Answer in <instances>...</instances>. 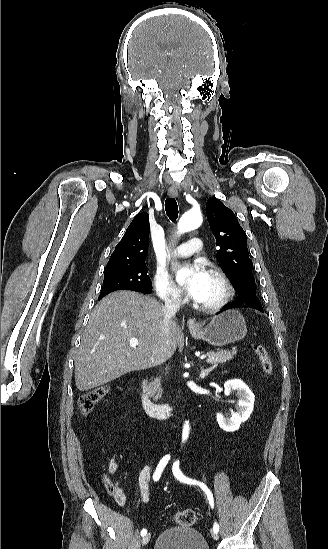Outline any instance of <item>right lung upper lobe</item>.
Wrapping results in <instances>:
<instances>
[{"label":"right lung upper lobe","instance_id":"cb5924a9","mask_svg":"<svg viewBox=\"0 0 328 549\" xmlns=\"http://www.w3.org/2000/svg\"><path fill=\"white\" fill-rule=\"evenodd\" d=\"M149 215L137 214L128 226L123 238L115 247L105 270L145 261L149 244Z\"/></svg>","mask_w":328,"mask_h":549}]
</instances>
